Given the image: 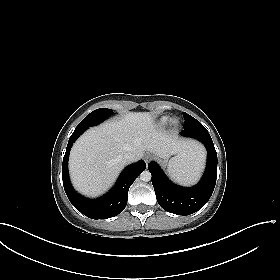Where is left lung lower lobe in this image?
<instances>
[{
	"label": "left lung lower lobe",
	"mask_w": 280,
	"mask_h": 280,
	"mask_svg": "<svg viewBox=\"0 0 280 280\" xmlns=\"http://www.w3.org/2000/svg\"><path fill=\"white\" fill-rule=\"evenodd\" d=\"M183 136L195 138L207 149V165L200 182L191 188L173 184L155 162L148 164L152 184L159 205L177 215H190L201 209L210 199L217 178V153L208 131L203 129L183 130Z\"/></svg>",
	"instance_id": "obj_1"
}]
</instances>
